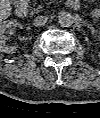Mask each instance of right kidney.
<instances>
[{
	"instance_id": "obj_1",
	"label": "right kidney",
	"mask_w": 100,
	"mask_h": 118,
	"mask_svg": "<svg viewBox=\"0 0 100 118\" xmlns=\"http://www.w3.org/2000/svg\"><path fill=\"white\" fill-rule=\"evenodd\" d=\"M20 24L17 20H6L0 24V51L7 54H13L17 51L16 46L6 45L9 30H14Z\"/></svg>"
}]
</instances>
